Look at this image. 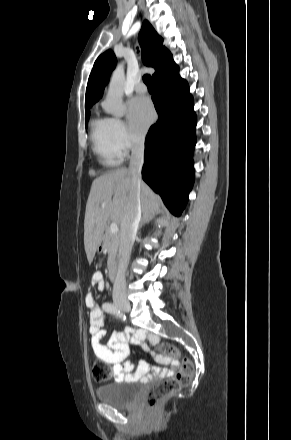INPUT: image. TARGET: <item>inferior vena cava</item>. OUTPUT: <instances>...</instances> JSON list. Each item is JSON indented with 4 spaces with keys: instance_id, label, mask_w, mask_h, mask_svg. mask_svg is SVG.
<instances>
[{
    "instance_id": "602c4592",
    "label": "inferior vena cava",
    "mask_w": 291,
    "mask_h": 440,
    "mask_svg": "<svg viewBox=\"0 0 291 440\" xmlns=\"http://www.w3.org/2000/svg\"><path fill=\"white\" fill-rule=\"evenodd\" d=\"M143 163L144 138H137L132 147L129 164L133 190L120 224L119 263L112 294L113 302L116 304L127 303L125 274L141 219L140 186Z\"/></svg>"
}]
</instances>
